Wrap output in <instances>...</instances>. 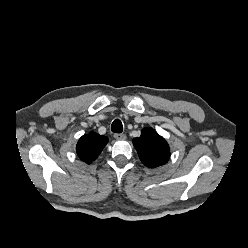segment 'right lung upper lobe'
I'll use <instances>...</instances> for the list:
<instances>
[{"label": "right lung upper lobe", "instance_id": "right-lung-upper-lobe-1", "mask_svg": "<svg viewBox=\"0 0 248 248\" xmlns=\"http://www.w3.org/2000/svg\"><path fill=\"white\" fill-rule=\"evenodd\" d=\"M108 142V138L95 132L83 135L76 146V152L79 158L90 164L101 153Z\"/></svg>", "mask_w": 248, "mask_h": 248}]
</instances>
